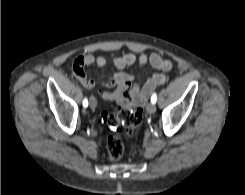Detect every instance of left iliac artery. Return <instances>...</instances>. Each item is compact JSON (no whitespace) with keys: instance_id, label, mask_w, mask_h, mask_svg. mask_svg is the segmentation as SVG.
Instances as JSON below:
<instances>
[{"instance_id":"left-iliac-artery-1","label":"left iliac artery","mask_w":245,"mask_h":195,"mask_svg":"<svg viewBox=\"0 0 245 195\" xmlns=\"http://www.w3.org/2000/svg\"><path fill=\"white\" fill-rule=\"evenodd\" d=\"M157 101V95L156 93H153V95L151 96V103L155 104Z\"/></svg>"}]
</instances>
